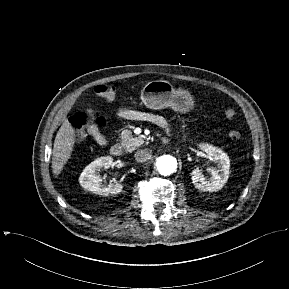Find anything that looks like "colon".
<instances>
[{"mask_svg":"<svg viewBox=\"0 0 289 289\" xmlns=\"http://www.w3.org/2000/svg\"><path fill=\"white\" fill-rule=\"evenodd\" d=\"M116 91L117 84L115 83L100 84L95 87V93L97 96L106 100H112L115 97ZM224 114L228 119H233L236 115V112L232 108H227L224 111ZM69 123L75 129L76 138L80 140L85 136V132L86 130L88 131L90 126L93 125L97 128H101L105 126L106 122L102 117L88 118V116L84 113H77L70 117ZM229 137L232 140H238L240 139L241 134L236 130H231L229 132Z\"/></svg>","mask_w":289,"mask_h":289,"instance_id":"colon-1","label":"colon"}]
</instances>
